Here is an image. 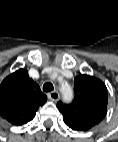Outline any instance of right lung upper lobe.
I'll return each instance as SVG.
<instances>
[{
	"label": "right lung upper lobe",
	"instance_id": "cb5924a9",
	"mask_svg": "<svg viewBox=\"0 0 118 142\" xmlns=\"http://www.w3.org/2000/svg\"><path fill=\"white\" fill-rule=\"evenodd\" d=\"M46 101L47 96L28 76L27 70H17L0 84V115L13 125L30 122Z\"/></svg>",
	"mask_w": 118,
	"mask_h": 142
}]
</instances>
